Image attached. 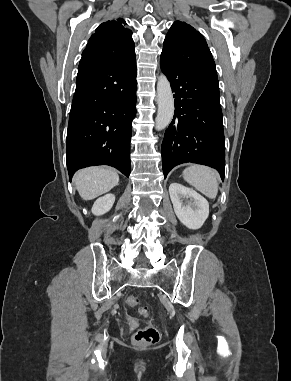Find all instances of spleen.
<instances>
[{"mask_svg":"<svg viewBox=\"0 0 291 381\" xmlns=\"http://www.w3.org/2000/svg\"><path fill=\"white\" fill-rule=\"evenodd\" d=\"M183 178L208 198H216L218 193L217 175L210 167L191 165L184 169Z\"/></svg>","mask_w":291,"mask_h":381,"instance_id":"3e777b00","label":"spleen"}]
</instances>
